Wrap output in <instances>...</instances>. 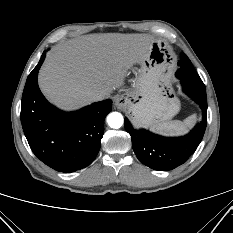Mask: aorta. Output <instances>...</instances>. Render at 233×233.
<instances>
[{
	"mask_svg": "<svg viewBox=\"0 0 233 233\" xmlns=\"http://www.w3.org/2000/svg\"><path fill=\"white\" fill-rule=\"evenodd\" d=\"M123 122V116L119 112H112L107 116V123L111 128L118 129L123 125Z\"/></svg>",
	"mask_w": 233,
	"mask_h": 233,
	"instance_id": "1",
	"label": "aorta"
}]
</instances>
